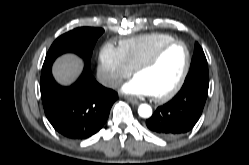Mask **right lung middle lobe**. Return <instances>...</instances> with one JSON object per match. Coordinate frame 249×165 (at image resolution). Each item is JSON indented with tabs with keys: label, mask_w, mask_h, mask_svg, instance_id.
I'll return each instance as SVG.
<instances>
[{
	"label": "right lung middle lobe",
	"mask_w": 249,
	"mask_h": 165,
	"mask_svg": "<svg viewBox=\"0 0 249 165\" xmlns=\"http://www.w3.org/2000/svg\"><path fill=\"white\" fill-rule=\"evenodd\" d=\"M104 32L101 28L81 27L59 36L51 45L45 60L73 52L82 57L90 69V59L98 37Z\"/></svg>",
	"instance_id": "right-lung-middle-lobe-1"
}]
</instances>
